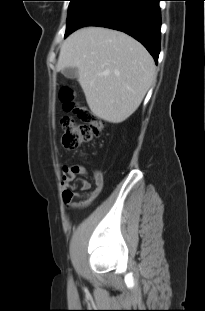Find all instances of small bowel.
I'll return each instance as SVG.
<instances>
[{
  "label": "small bowel",
  "mask_w": 205,
  "mask_h": 311,
  "mask_svg": "<svg viewBox=\"0 0 205 311\" xmlns=\"http://www.w3.org/2000/svg\"><path fill=\"white\" fill-rule=\"evenodd\" d=\"M88 174L95 185L93 190H91L90 181L83 178V176ZM103 186L104 177L99 170H89L80 163L64 165L62 167V197L68 210H80L89 206L99 195Z\"/></svg>",
  "instance_id": "obj_1"
}]
</instances>
